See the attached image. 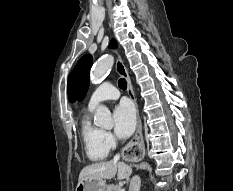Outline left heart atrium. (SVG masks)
I'll list each match as a JSON object with an SVG mask.
<instances>
[{"instance_id": "39dd6f15", "label": "left heart atrium", "mask_w": 233, "mask_h": 191, "mask_svg": "<svg viewBox=\"0 0 233 191\" xmlns=\"http://www.w3.org/2000/svg\"><path fill=\"white\" fill-rule=\"evenodd\" d=\"M114 131L120 138L129 137L136 126L135 110L128 102L120 103L114 110Z\"/></svg>"}]
</instances>
